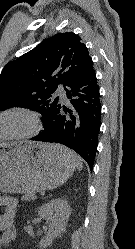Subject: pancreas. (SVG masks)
Listing matches in <instances>:
<instances>
[{
    "mask_svg": "<svg viewBox=\"0 0 135 249\" xmlns=\"http://www.w3.org/2000/svg\"><path fill=\"white\" fill-rule=\"evenodd\" d=\"M32 198V193H26L24 196H22L23 200H30Z\"/></svg>",
    "mask_w": 135,
    "mask_h": 249,
    "instance_id": "cf45deb5",
    "label": "pancreas"
}]
</instances>
